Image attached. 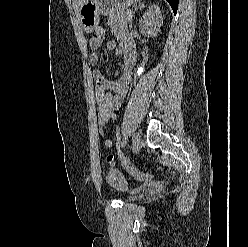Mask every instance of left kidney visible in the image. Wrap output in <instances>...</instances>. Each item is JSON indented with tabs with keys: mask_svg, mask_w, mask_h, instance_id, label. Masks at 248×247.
Wrapping results in <instances>:
<instances>
[{
	"mask_svg": "<svg viewBox=\"0 0 248 247\" xmlns=\"http://www.w3.org/2000/svg\"><path fill=\"white\" fill-rule=\"evenodd\" d=\"M163 24V17L157 5H151L139 20L140 32L148 37H154Z\"/></svg>",
	"mask_w": 248,
	"mask_h": 247,
	"instance_id": "5707ae66",
	"label": "left kidney"
}]
</instances>
